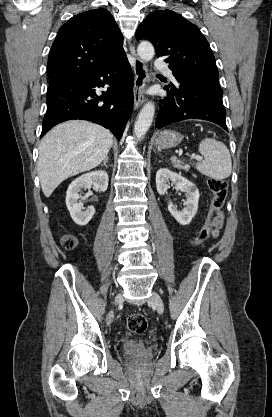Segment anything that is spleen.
Returning <instances> with one entry per match:
<instances>
[{
    "label": "spleen",
    "mask_w": 272,
    "mask_h": 417,
    "mask_svg": "<svg viewBox=\"0 0 272 417\" xmlns=\"http://www.w3.org/2000/svg\"><path fill=\"white\" fill-rule=\"evenodd\" d=\"M203 162L195 164L196 169L214 180H223L230 176L232 161L228 148L215 139H204L199 144Z\"/></svg>",
    "instance_id": "spleen-1"
}]
</instances>
